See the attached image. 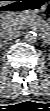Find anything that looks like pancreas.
I'll list each match as a JSON object with an SVG mask.
<instances>
[{
	"instance_id": "cf45deb5",
	"label": "pancreas",
	"mask_w": 50,
	"mask_h": 111,
	"mask_svg": "<svg viewBox=\"0 0 50 111\" xmlns=\"http://www.w3.org/2000/svg\"><path fill=\"white\" fill-rule=\"evenodd\" d=\"M32 19L38 20L37 22H32ZM42 20L37 19L33 15H15L8 19H6L3 22V26L10 29H21L24 27V25L33 23L36 24L37 28L39 30L43 29Z\"/></svg>"
}]
</instances>
